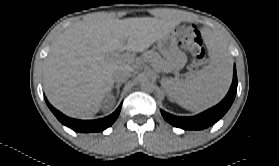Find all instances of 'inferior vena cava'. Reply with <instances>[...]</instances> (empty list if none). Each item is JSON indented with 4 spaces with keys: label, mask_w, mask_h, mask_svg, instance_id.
<instances>
[{
    "label": "inferior vena cava",
    "mask_w": 279,
    "mask_h": 166,
    "mask_svg": "<svg viewBox=\"0 0 279 166\" xmlns=\"http://www.w3.org/2000/svg\"><path fill=\"white\" fill-rule=\"evenodd\" d=\"M133 71L130 66L122 67L114 73V80L117 83L124 82L132 75Z\"/></svg>",
    "instance_id": "1"
}]
</instances>
